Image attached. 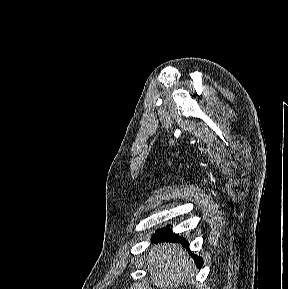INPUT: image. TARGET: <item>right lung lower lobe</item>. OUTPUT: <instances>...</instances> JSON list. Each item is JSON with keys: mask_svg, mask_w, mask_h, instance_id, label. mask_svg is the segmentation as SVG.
Instances as JSON below:
<instances>
[{"mask_svg": "<svg viewBox=\"0 0 288 289\" xmlns=\"http://www.w3.org/2000/svg\"><path fill=\"white\" fill-rule=\"evenodd\" d=\"M154 240H159V241H161V240H163V241H165V240H170V241H174V240H176V241H178V240H180V237H178V236H176L171 230L169 231V230H165V229H161V230H158V233L154 236ZM195 262H196V264H197V266L198 267H201L202 266V264H203V261H202V259L200 258V257H198V258H195Z\"/></svg>", "mask_w": 288, "mask_h": 289, "instance_id": "1", "label": "right lung lower lobe"}]
</instances>
